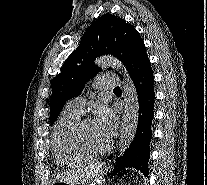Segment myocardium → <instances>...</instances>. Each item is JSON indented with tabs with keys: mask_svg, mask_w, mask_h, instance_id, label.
Segmentation results:
<instances>
[{
	"mask_svg": "<svg viewBox=\"0 0 207 185\" xmlns=\"http://www.w3.org/2000/svg\"><path fill=\"white\" fill-rule=\"evenodd\" d=\"M90 119H83L79 121V123L76 126L75 129V139L79 147L87 152L88 154L92 156H99L104 155L107 152H109L112 149V146L114 144V140L112 138L109 139L107 145L102 149H95L87 140L85 134H84V125L85 123Z\"/></svg>",
	"mask_w": 207,
	"mask_h": 185,
	"instance_id": "myocardium-1",
	"label": "myocardium"
}]
</instances>
